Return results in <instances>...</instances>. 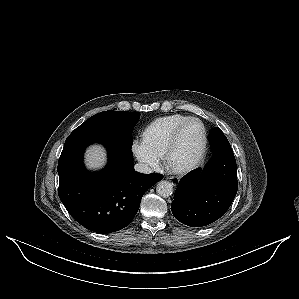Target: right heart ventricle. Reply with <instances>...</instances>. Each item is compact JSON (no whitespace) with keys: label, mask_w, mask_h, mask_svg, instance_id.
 I'll return each mask as SVG.
<instances>
[{"label":"right heart ventricle","mask_w":299,"mask_h":299,"mask_svg":"<svg viewBox=\"0 0 299 299\" xmlns=\"http://www.w3.org/2000/svg\"><path fill=\"white\" fill-rule=\"evenodd\" d=\"M188 118V116L182 114H171L154 120L143 132L144 145L151 153L158 157L163 156L172 133Z\"/></svg>","instance_id":"right-heart-ventricle-1"}]
</instances>
